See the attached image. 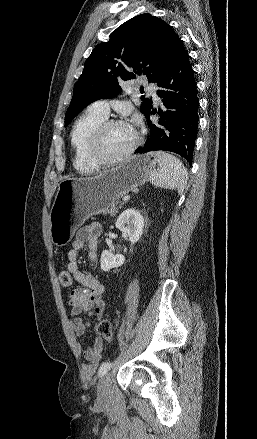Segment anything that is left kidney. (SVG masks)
<instances>
[{
	"instance_id": "5707ae66",
	"label": "left kidney",
	"mask_w": 257,
	"mask_h": 439,
	"mask_svg": "<svg viewBox=\"0 0 257 439\" xmlns=\"http://www.w3.org/2000/svg\"><path fill=\"white\" fill-rule=\"evenodd\" d=\"M144 217L140 211L129 208L123 211L118 217L115 226L127 235L131 246L139 241L143 234ZM132 252V249H130ZM125 262V257L121 254H113L104 250L101 254L100 264L103 271H109L112 268H118Z\"/></svg>"
}]
</instances>
